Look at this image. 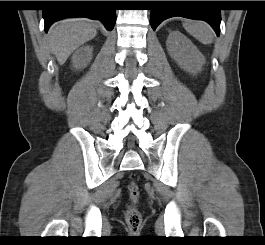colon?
I'll list each match as a JSON object with an SVG mask.
<instances>
[{"label":"colon","instance_id":"5ec220e1","mask_svg":"<svg viewBox=\"0 0 265 245\" xmlns=\"http://www.w3.org/2000/svg\"><path fill=\"white\" fill-rule=\"evenodd\" d=\"M128 191L131 199V204L125 211V218L131 229V233L133 235H138L139 227L142 223V214L137 207V203L140 197V190L137 184L131 183L128 186Z\"/></svg>","mask_w":265,"mask_h":245}]
</instances>
